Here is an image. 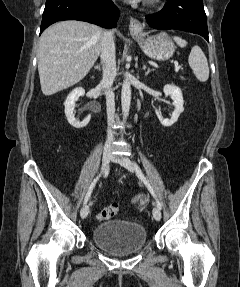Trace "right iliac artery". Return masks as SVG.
<instances>
[{
	"label": "right iliac artery",
	"instance_id": "obj_1",
	"mask_svg": "<svg viewBox=\"0 0 240 287\" xmlns=\"http://www.w3.org/2000/svg\"><path fill=\"white\" fill-rule=\"evenodd\" d=\"M105 172H108V169H107ZM99 178H100V175L97 176V177L93 180V182L91 183V185H90V187H89V189H88V191H87V194H86V196H85L84 204H86L87 201L89 200V198H90V196H91V193H92V191H93V189H94V187H95L97 181L99 180Z\"/></svg>",
	"mask_w": 240,
	"mask_h": 287
}]
</instances>
